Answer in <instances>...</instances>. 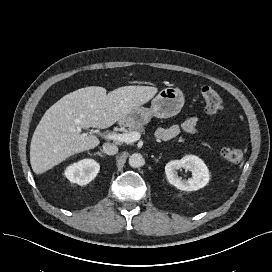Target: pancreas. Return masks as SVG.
Listing matches in <instances>:
<instances>
[{
  "mask_svg": "<svg viewBox=\"0 0 272 272\" xmlns=\"http://www.w3.org/2000/svg\"><path fill=\"white\" fill-rule=\"evenodd\" d=\"M144 130V126L142 125H136V126H129L127 132L130 133V132H142Z\"/></svg>",
  "mask_w": 272,
  "mask_h": 272,
  "instance_id": "pancreas-1",
  "label": "pancreas"
}]
</instances>
